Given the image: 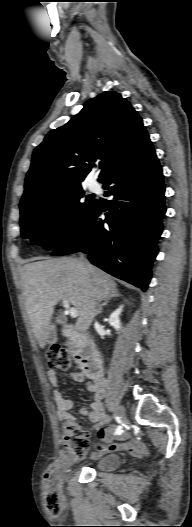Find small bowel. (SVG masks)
Listing matches in <instances>:
<instances>
[{
	"label": "small bowel",
	"mask_w": 192,
	"mask_h": 527,
	"mask_svg": "<svg viewBox=\"0 0 192 527\" xmlns=\"http://www.w3.org/2000/svg\"><path fill=\"white\" fill-rule=\"evenodd\" d=\"M47 376L52 385L58 386V375L55 370H48ZM71 376L76 382H83L87 379V391L89 394L93 395L90 408H82L80 413L90 420L92 429L98 430L99 438L103 440L102 443L96 446L95 455L120 450H127L135 457L144 455L146 453L145 445L136 439H133L126 431H122L118 434L116 441L112 440L111 434L114 429L111 426H107L109 417L105 413L103 402L105 395L104 379L90 376L84 372H75ZM54 400L57 406L58 420L64 422L74 420L73 415L70 413L74 404L73 401L65 398L62 392L58 389L54 391Z\"/></svg>",
	"instance_id": "obj_1"
}]
</instances>
